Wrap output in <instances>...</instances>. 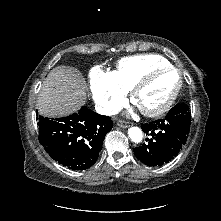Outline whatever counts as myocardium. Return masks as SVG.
Masks as SVG:
<instances>
[{
  "label": "myocardium",
  "instance_id": "1",
  "mask_svg": "<svg viewBox=\"0 0 221 221\" xmlns=\"http://www.w3.org/2000/svg\"><path fill=\"white\" fill-rule=\"evenodd\" d=\"M164 72H175L178 76V82L177 85L171 94V96L163 103L161 106L155 108V109H145L140 107L137 104V97L139 93L146 87L148 86L159 74L164 73ZM183 85V78L182 74L179 69L172 65L168 66H161V67H156L149 72H147L144 76L140 78V80L134 85V87L131 90V100L132 102L139 108L140 112L147 116V117H157L165 112H167L171 106L174 104L176 101L181 88Z\"/></svg>",
  "mask_w": 221,
  "mask_h": 221
}]
</instances>
